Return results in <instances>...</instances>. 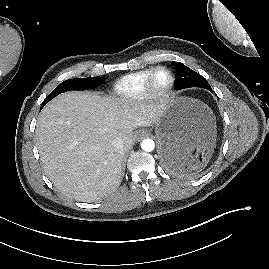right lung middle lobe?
Listing matches in <instances>:
<instances>
[{"mask_svg":"<svg viewBox=\"0 0 269 269\" xmlns=\"http://www.w3.org/2000/svg\"><path fill=\"white\" fill-rule=\"evenodd\" d=\"M104 79L102 77H88V78H74L69 79L61 84H59L53 92H51L45 100L42 102L41 108L44 107V105L52 100L54 97L58 96L61 93H64L68 90H88L93 89L97 87L98 85H101L104 83Z\"/></svg>","mask_w":269,"mask_h":269,"instance_id":"right-lung-middle-lobe-1","label":"right lung middle lobe"}]
</instances>
